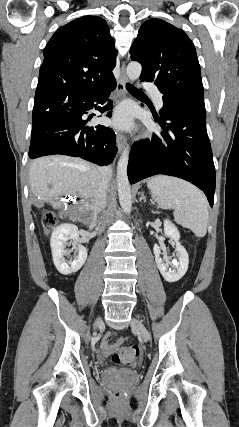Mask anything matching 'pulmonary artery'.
Masks as SVG:
<instances>
[{
  "mask_svg": "<svg viewBox=\"0 0 239 427\" xmlns=\"http://www.w3.org/2000/svg\"><path fill=\"white\" fill-rule=\"evenodd\" d=\"M143 87L154 97L157 107L161 109L163 107V100L158 88L152 83H144Z\"/></svg>",
  "mask_w": 239,
  "mask_h": 427,
  "instance_id": "obj_1",
  "label": "pulmonary artery"
}]
</instances>
